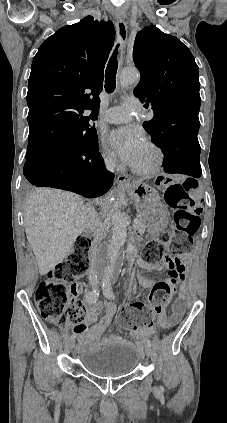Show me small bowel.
I'll list each match as a JSON object with an SVG mask.
<instances>
[{
  "instance_id": "small-bowel-1",
  "label": "small bowel",
  "mask_w": 227,
  "mask_h": 423,
  "mask_svg": "<svg viewBox=\"0 0 227 423\" xmlns=\"http://www.w3.org/2000/svg\"><path fill=\"white\" fill-rule=\"evenodd\" d=\"M187 258V257H186ZM185 271V266L179 260ZM138 265L142 270L141 283L144 287H149L154 283L152 277L146 275V272H150L156 268L155 265L146 262L144 259L138 260ZM82 290V287L77 284V294ZM185 306L184 288L180 289V294L172 304L171 315L167 316L164 312L158 314L157 318L151 322L149 326L139 328L132 332V335L139 340V345H143L146 339L156 329H170L177 325L181 319ZM104 307L105 314L97 322V317L100 313L101 308ZM117 311V305L114 302L97 303L91 307L84 308V319L77 323L74 327V333L78 336V348L80 350H86L94 346L101 338L103 332L110 326L113 316ZM115 339L107 337L102 339L104 344L112 343Z\"/></svg>"
}]
</instances>
